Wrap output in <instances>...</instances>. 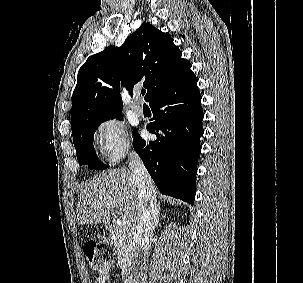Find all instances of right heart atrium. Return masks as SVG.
Returning <instances> with one entry per match:
<instances>
[{"label":"right heart atrium","mask_w":303,"mask_h":283,"mask_svg":"<svg viewBox=\"0 0 303 283\" xmlns=\"http://www.w3.org/2000/svg\"><path fill=\"white\" fill-rule=\"evenodd\" d=\"M94 139L101 156L111 164L123 159L132 147L125 124L117 118L101 121L95 129Z\"/></svg>","instance_id":"obj_1"}]
</instances>
